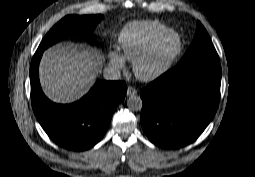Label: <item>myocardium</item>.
Returning <instances> with one entry per match:
<instances>
[{
    "instance_id": "obj_1",
    "label": "myocardium",
    "mask_w": 255,
    "mask_h": 177,
    "mask_svg": "<svg viewBox=\"0 0 255 177\" xmlns=\"http://www.w3.org/2000/svg\"><path fill=\"white\" fill-rule=\"evenodd\" d=\"M175 36L177 39V44L175 49L167 56V58L162 62V64L157 67L154 71L149 73H144L141 71L142 63L149 58V56L156 50L158 45L167 37ZM182 50V40L180 35L172 30L167 29L164 32L157 35L136 57L133 63V73L134 75L141 81L151 82L158 79L161 75H163L175 58L179 55Z\"/></svg>"
}]
</instances>
